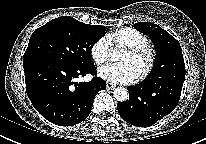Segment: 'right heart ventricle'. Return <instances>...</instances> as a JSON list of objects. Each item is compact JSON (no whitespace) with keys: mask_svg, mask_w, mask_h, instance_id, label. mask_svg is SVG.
<instances>
[{"mask_svg":"<svg viewBox=\"0 0 206 144\" xmlns=\"http://www.w3.org/2000/svg\"><path fill=\"white\" fill-rule=\"evenodd\" d=\"M107 39L110 45L113 46L133 47L148 45V39L145 35L129 27L110 33L107 35Z\"/></svg>","mask_w":206,"mask_h":144,"instance_id":"e07e8e85","label":"right heart ventricle"}]
</instances>
